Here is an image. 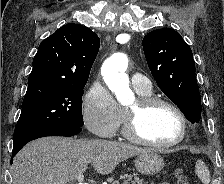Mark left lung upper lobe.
Returning <instances> with one entry per match:
<instances>
[{"label":"left lung upper lobe","mask_w":224,"mask_h":184,"mask_svg":"<svg viewBox=\"0 0 224 184\" xmlns=\"http://www.w3.org/2000/svg\"><path fill=\"white\" fill-rule=\"evenodd\" d=\"M143 49L159 88L191 123H198L201 118V98L189 45L175 30L162 28L143 38Z\"/></svg>","instance_id":"obj_1"}]
</instances>
